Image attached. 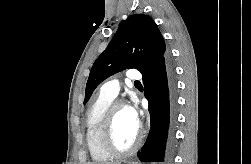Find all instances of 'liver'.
<instances>
[{
	"instance_id": "6515ba94",
	"label": "liver",
	"mask_w": 251,
	"mask_h": 164,
	"mask_svg": "<svg viewBox=\"0 0 251 164\" xmlns=\"http://www.w3.org/2000/svg\"><path fill=\"white\" fill-rule=\"evenodd\" d=\"M89 164H94V163H89ZM100 164H103V163H100ZM105 164H111V163H105ZM114 164H118V163H114Z\"/></svg>"
}]
</instances>
